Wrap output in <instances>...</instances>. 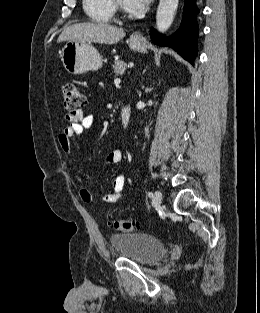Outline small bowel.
I'll return each mask as SVG.
<instances>
[{
  "instance_id": "c3829d8e",
  "label": "small bowel",
  "mask_w": 260,
  "mask_h": 313,
  "mask_svg": "<svg viewBox=\"0 0 260 313\" xmlns=\"http://www.w3.org/2000/svg\"><path fill=\"white\" fill-rule=\"evenodd\" d=\"M69 122L65 128L57 136L58 145L66 153H70L71 139L75 136H82L86 131L91 129L95 124V117L91 114L85 115L82 110L68 112L65 116ZM123 160V152L121 150H114L107 154L105 161L108 164H119ZM76 179L82 183L79 175ZM126 186V177L123 173H119L113 183V190L111 193L103 195L102 201L105 203H114L118 201L124 194ZM79 195L85 203L93 202V195L90 190L82 185L79 189Z\"/></svg>"
}]
</instances>
